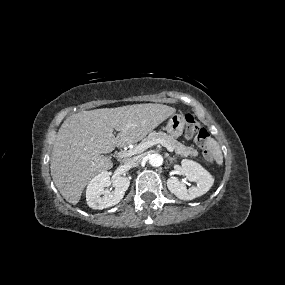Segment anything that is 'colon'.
<instances>
[{
  "label": "colon",
  "instance_id": "colon-1",
  "mask_svg": "<svg viewBox=\"0 0 285 285\" xmlns=\"http://www.w3.org/2000/svg\"><path fill=\"white\" fill-rule=\"evenodd\" d=\"M186 129L185 136L194 138L196 144L202 149L204 155L208 159L213 158L211 150V137L208 130L202 127L192 114H186L185 117Z\"/></svg>",
  "mask_w": 285,
  "mask_h": 285
}]
</instances>
